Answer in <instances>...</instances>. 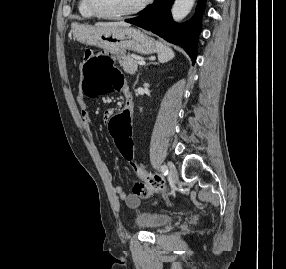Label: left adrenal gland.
Masks as SVG:
<instances>
[{
  "label": "left adrenal gland",
  "mask_w": 286,
  "mask_h": 269,
  "mask_svg": "<svg viewBox=\"0 0 286 269\" xmlns=\"http://www.w3.org/2000/svg\"><path fill=\"white\" fill-rule=\"evenodd\" d=\"M153 64L157 65L158 63H157V62H153ZM138 80H139V75H137V80H136V82H135V83H137V82H138Z\"/></svg>",
  "instance_id": "obj_1"
}]
</instances>
